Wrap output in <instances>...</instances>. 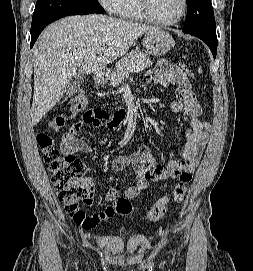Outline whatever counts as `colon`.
<instances>
[{
    "label": "colon",
    "instance_id": "5ec220e1",
    "mask_svg": "<svg viewBox=\"0 0 253 271\" xmlns=\"http://www.w3.org/2000/svg\"><path fill=\"white\" fill-rule=\"evenodd\" d=\"M181 68L188 72L186 65ZM87 101L86 93L83 90L78 91L69 101L66 108L53 117L48 129L37 134V143L43 153L44 161L51 175V181L54 189L64 205L65 211L73 221L82 228H91L97 222L95 215L87 213L83 206H90L93 202V187L82 175V162L71 154L62 153L55 144L53 133L60 131L69 120L75 116ZM86 120L111 121V118L103 111L87 112L84 115ZM192 180L190 172H184L175 184L171 198L180 202L184 199L187 186ZM169 196L160 197L149 209L147 217L150 221H159L165 214ZM111 207L114 213L120 215H129L133 212L131 202L126 198L116 199Z\"/></svg>",
    "mask_w": 253,
    "mask_h": 271
}]
</instances>
